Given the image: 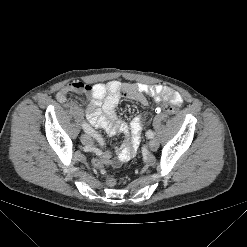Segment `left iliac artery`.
I'll return each mask as SVG.
<instances>
[{"label":"left iliac artery","mask_w":247,"mask_h":247,"mask_svg":"<svg viewBox=\"0 0 247 247\" xmlns=\"http://www.w3.org/2000/svg\"><path fill=\"white\" fill-rule=\"evenodd\" d=\"M146 136H147L148 138H153V137H154V133H153L151 130H148V131L146 132Z\"/></svg>","instance_id":"obj_1"}]
</instances>
